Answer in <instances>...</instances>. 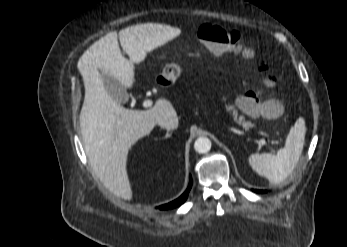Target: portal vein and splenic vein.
Listing matches in <instances>:
<instances>
[{"mask_svg":"<svg viewBox=\"0 0 347 247\" xmlns=\"http://www.w3.org/2000/svg\"><path fill=\"white\" fill-rule=\"evenodd\" d=\"M152 104H153V102L151 100H145L142 105H143V107L147 108V107H151ZM265 144H266L265 140L260 141V146L265 145Z\"/></svg>","mask_w":347,"mask_h":247,"instance_id":"obj_1","label":"portal vein and splenic vein"}]
</instances>
